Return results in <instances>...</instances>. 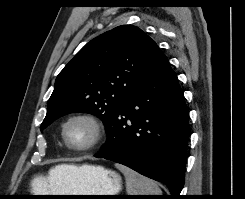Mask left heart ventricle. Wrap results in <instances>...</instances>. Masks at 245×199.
Wrapping results in <instances>:
<instances>
[{"label":"left heart ventricle","instance_id":"1","mask_svg":"<svg viewBox=\"0 0 245 199\" xmlns=\"http://www.w3.org/2000/svg\"><path fill=\"white\" fill-rule=\"evenodd\" d=\"M93 136V128L87 121L74 120L67 127L68 140L75 146L88 144L93 139Z\"/></svg>","mask_w":245,"mask_h":199}]
</instances>
